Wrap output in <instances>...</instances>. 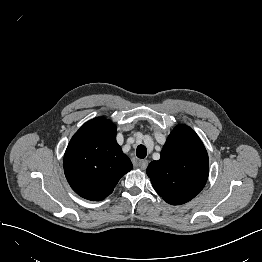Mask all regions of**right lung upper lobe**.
I'll list each match as a JSON object with an SVG mask.
<instances>
[{
    "label": "right lung upper lobe",
    "mask_w": 262,
    "mask_h": 262,
    "mask_svg": "<svg viewBox=\"0 0 262 262\" xmlns=\"http://www.w3.org/2000/svg\"><path fill=\"white\" fill-rule=\"evenodd\" d=\"M116 126L95 118L72 137L64 155V172L81 197L100 201L110 195L133 165L116 142Z\"/></svg>",
    "instance_id": "cb5924a9"
}]
</instances>
